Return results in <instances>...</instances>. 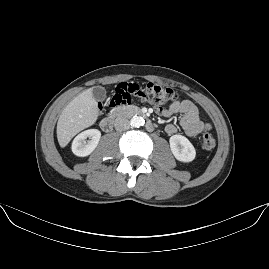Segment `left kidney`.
I'll return each mask as SVG.
<instances>
[{
    "label": "left kidney",
    "mask_w": 269,
    "mask_h": 269,
    "mask_svg": "<svg viewBox=\"0 0 269 269\" xmlns=\"http://www.w3.org/2000/svg\"><path fill=\"white\" fill-rule=\"evenodd\" d=\"M170 146L175 157L181 161H191L195 157L193 145L184 136L173 135L170 138Z\"/></svg>",
    "instance_id": "5707ae66"
}]
</instances>
